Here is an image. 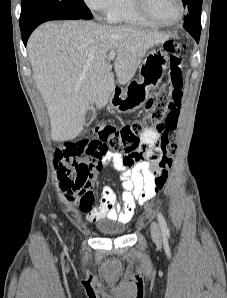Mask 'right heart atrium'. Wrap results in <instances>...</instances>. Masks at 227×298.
Listing matches in <instances>:
<instances>
[{
  "label": "right heart atrium",
  "instance_id": "d8ad5b80",
  "mask_svg": "<svg viewBox=\"0 0 227 298\" xmlns=\"http://www.w3.org/2000/svg\"><path fill=\"white\" fill-rule=\"evenodd\" d=\"M95 14H107L115 5L116 0H83Z\"/></svg>",
  "mask_w": 227,
  "mask_h": 298
}]
</instances>
